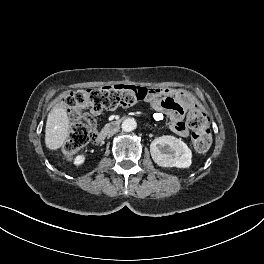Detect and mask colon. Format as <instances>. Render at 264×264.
Segmentation results:
<instances>
[{"label": "colon", "instance_id": "5ec220e1", "mask_svg": "<svg viewBox=\"0 0 264 264\" xmlns=\"http://www.w3.org/2000/svg\"><path fill=\"white\" fill-rule=\"evenodd\" d=\"M148 95L149 89L130 85L103 86L70 92L65 99L72 117L69 137L62 148L65 157L71 160L90 140L91 129L81 120V110L102 111L128 107L146 99ZM187 123L193 129L191 140L194 149L199 153L206 152L212 141L207 115L197 106H191Z\"/></svg>", "mask_w": 264, "mask_h": 264}]
</instances>
